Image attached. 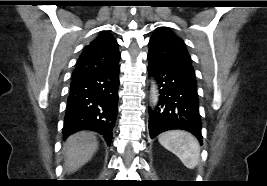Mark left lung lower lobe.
I'll use <instances>...</instances> for the list:
<instances>
[{"mask_svg": "<svg viewBox=\"0 0 267 186\" xmlns=\"http://www.w3.org/2000/svg\"><path fill=\"white\" fill-rule=\"evenodd\" d=\"M150 75L159 84V103L150 110L149 133L153 139L172 129H183L202 142L196 80L147 56Z\"/></svg>", "mask_w": 267, "mask_h": 186, "instance_id": "obj_1", "label": "left lung lower lobe"}]
</instances>
